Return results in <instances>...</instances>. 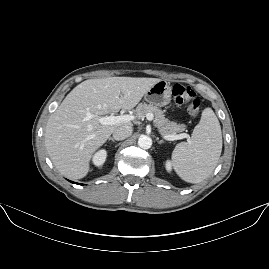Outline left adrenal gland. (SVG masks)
Instances as JSON below:
<instances>
[{"mask_svg":"<svg viewBox=\"0 0 269 269\" xmlns=\"http://www.w3.org/2000/svg\"><path fill=\"white\" fill-rule=\"evenodd\" d=\"M156 140L158 141L159 138H156ZM163 142H164V140H160V141H158V144H161V143H163Z\"/></svg>","mask_w":269,"mask_h":269,"instance_id":"1","label":"left adrenal gland"}]
</instances>
